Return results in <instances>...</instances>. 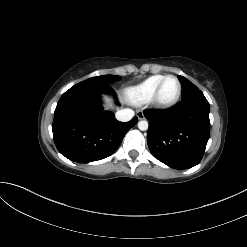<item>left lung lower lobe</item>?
Segmentation results:
<instances>
[{"instance_id":"left-lung-lower-lobe-1","label":"left lung lower lobe","mask_w":247,"mask_h":247,"mask_svg":"<svg viewBox=\"0 0 247 247\" xmlns=\"http://www.w3.org/2000/svg\"><path fill=\"white\" fill-rule=\"evenodd\" d=\"M147 143L156 159L175 169L197 165L209 135V103L200 90L192 91L170 109L146 110Z\"/></svg>"}]
</instances>
